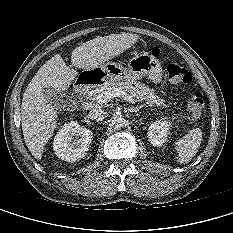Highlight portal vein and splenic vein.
Masks as SVG:
<instances>
[{"mask_svg": "<svg viewBox=\"0 0 233 233\" xmlns=\"http://www.w3.org/2000/svg\"><path fill=\"white\" fill-rule=\"evenodd\" d=\"M114 97H121L130 103H134V99L132 98L131 95L117 88L106 91L105 93L98 95L96 98V102L98 104H106Z\"/></svg>", "mask_w": 233, "mask_h": 233, "instance_id": "18ae733b", "label": "portal vein and splenic vein"}]
</instances>
